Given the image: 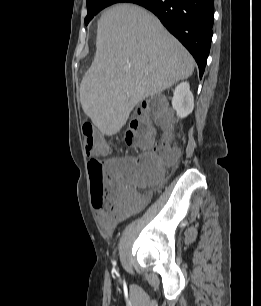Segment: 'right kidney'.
<instances>
[{"label": "right kidney", "instance_id": "obj_1", "mask_svg": "<svg viewBox=\"0 0 261 306\" xmlns=\"http://www.w3.org/2000/svg\"><path fill=\"white\" fill-rule=\"evenodd\" d=\"M172 106L180 118L188 116L193 111L194 97L188 82H182L177 85L172 98Z\"/></svg>", "mask_w": 261, "mask_h": 306}]
</instances>
